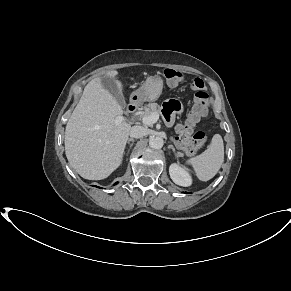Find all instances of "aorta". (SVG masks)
I'll use <instances>...</instances> for the list:
<instances>
[{
    "mask_svg": "<svg viewBox=\"0 0 291 291\" xmlns=\"http://www.w3.org/2000/svg\"><path fill=\"white\" fill-rule=\"evenodd\" d=\"M149 146L152 149H161L163 147V139L161 137H152L149 140Z\"/></svg>",
    "mask_w": 291,
    "mask_h": 291,
    "instance_id": "762f6f07",
    "label": "aorta"
}]
</instances>
